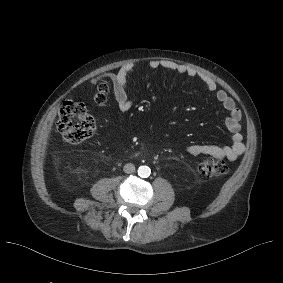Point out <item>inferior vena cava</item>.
<instances>
[{
	"label": "inferior vena cava",
	"instance_id": "602c4592",
	"mask_svg": "<svg viewBox=\"0 0 283 283\" xmlns=\"http://www.w3.org/2000/svg\"><path fill=\"white\" fill-rule=\"evenodd\" d=\"M125 173H133L135 171V166L132 163L125 164L123 167Z\"/></svg>",
	"mask_w": 283,
	"mask_h": 283
}]
</instances>
